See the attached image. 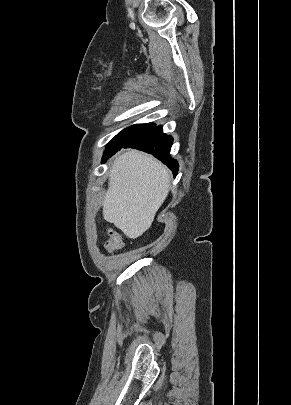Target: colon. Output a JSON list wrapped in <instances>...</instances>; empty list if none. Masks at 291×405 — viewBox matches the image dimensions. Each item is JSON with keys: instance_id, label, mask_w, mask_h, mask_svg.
I'll list each match as a JSON object with an SVG mask.
<instances>
[{"instance_id": "colon-1", "label": "colon", "mask_w": 291, "mask_h": 405, "mask_svg": "<svg viewBox=\"0 0 291 405\" xmlns=\"http://www.w3.org/2000/svg\"><path fill=\"white\" fill-rule=\"evenodd\" d=\"M105 247L106 250L111 253L120 250L123 247L122 236L115 231H110Z\"/></svg>"}]
</instances>
